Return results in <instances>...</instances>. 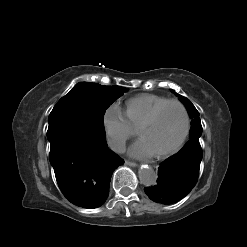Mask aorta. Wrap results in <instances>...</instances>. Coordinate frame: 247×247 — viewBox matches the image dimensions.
I'll list each match as a JSON object with an SVG mask.
<instances>
[{
    "instance_id": "762f6f07",
    "label": "aorta",
    "mask_w": 247,
    "mask_h": 247,
    "mask_svg": "<svg viewBox=\"0 0 247 247\" xmlns=\"http://www.w3.org/2000/svg\"><path fill=\"white\" fill-rule=\"evenodd\" d=\"M139 179L140 182L143 185L146 186H152L156 184L157 181V173L154 171V169L152 167H141L139 169Z\"/></svg>"
}]
</instances>
